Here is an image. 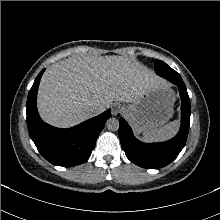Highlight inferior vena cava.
Returning a JSON list of instances; mask_svg holds the SVG:
<instances>
[{"label": "inferior vena cava", "mask_w": 220, "mask_h": 220, "mask_svg": "<svg viewBox=\"0 0 220 220\" xmlns=\"http://www.w3.org/2000/svg\"><path fill=\"white\" fill-rule=\"evenodd\" d=\"M103 112V108L98 105H90L87 107V113L90 117H94Z\"/></svg>", "instance_id": "1"}]
</instances>
